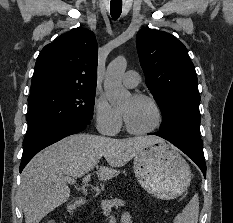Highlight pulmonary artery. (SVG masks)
I'll use <instances>...</instances> for the list:
<instances>
[{"label":"pulmonary artery","mask_w":233,"mask_h":223,"mask_svg":"<svg viewBox=\"0 0 233 223\" xmlns=\"http://www.w3.org/2000/svg\"><path fill=\"white\" fill-rule=\"evenodd\" d=\"M140 81V75L135 70H128L123 76V83L128 88H135Z\"/></svg>","instance_id":"obj_1"}]
</instances>
